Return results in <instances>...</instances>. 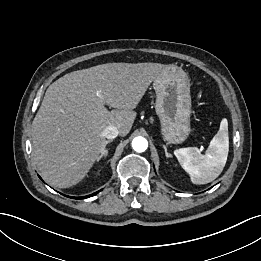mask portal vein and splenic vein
Segmentation results:
<instances>
[{
  "label": "portal vein and splenic vein",
  "mask_w": 261,
  "mask_h": 261,
  "mask_svg": "<svg viewBox=\"0 0 261 261\" xmlns=\"http://www.w3.org/2000/svg\"><path fill=\"white\" fill-rule=\"evenodd\" d=\"M97 96H98L100 99H103V96H102L101 92H97Z\"/></svg>",
  "instance_id": "obj_1"
}]
</instances>
